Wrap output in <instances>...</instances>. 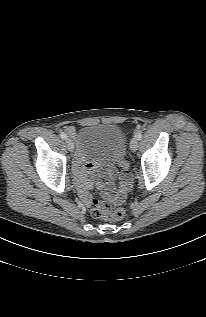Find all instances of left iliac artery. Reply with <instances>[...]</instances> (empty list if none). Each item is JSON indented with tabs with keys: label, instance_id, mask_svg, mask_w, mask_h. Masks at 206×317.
I'll return each instance as SVG.
<instances>
[{
	"label": "left iliac artery",
	"instance_id": "44dca946",
	"mask_svg": "<svg viewBox=\"0 0 206 317\" xmlns=\"http://www.w3.org/2000/svg\"><path fill=\"white\" fill-rule=\"evenodd\" d=\"M136 138H137L138 140H140V139L142 138V132H138V133L136 134Z\"/></svg>",
	"mask_w": 206,
	"mask_h": 317
}]
</instances>
